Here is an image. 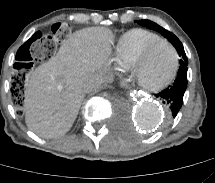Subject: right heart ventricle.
Segmentation results:
<instances>
[{
    "label": "right heart ventricle",
    "instance_id": "obj_1",
    "mask_svg": "<svg viewBox=\"0 0 215 183\" xmlns=\"http://www.w3.org/2000/svg\"><path fill=\"white\" fill-rule=\"evenodd\" d=\"M161 37L149 30L135 28L120 36L116 44V57L126 68H129L133 59L150 43Z\"/></svg>",
    "mask_w": 215,
    "mask_h": 183
}]
</instances>
